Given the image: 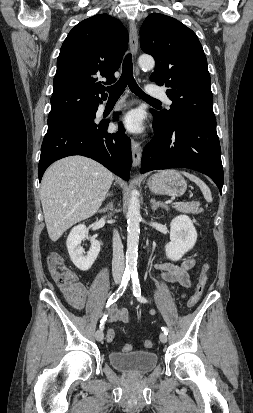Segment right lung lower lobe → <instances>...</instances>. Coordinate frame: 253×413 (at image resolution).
<instances>
[{
  "mask_svg": "<svg viewBox=\"0 0 253 413\" xmlns=\"http://www.w3.org/2000/svg\"><path fill=\"white\" fill-rule=\"evenodd\" d=\"M98 107H95L97 111ZM117 116V113L114 114ZM109 121L80 123L48 130L41 147L38 176L54 161L82 155L92 158L124 180H129L132 164L131 142L122 125L115 134L107 132Z\"/></svg>",
  "mask_w": 253,
  "mask_h": 413,
  "instance_id": "1",
  "label": "right lung lower lobe"
}]
</instances>
